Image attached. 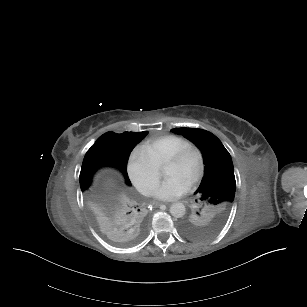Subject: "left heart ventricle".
<instances>
[{"label":"left heart ventricle","instance_id":"b2bd125f","mask_svg":"<svg viewBox=\"0 0 307 307\" xmlns=\"http://www.w3.org/2000/svg\"><path fill=\"white\" fill-rule=\"evenodd\" d=\"M200 163L201 158L199 152L193 150L179 163L166 161L163 172L166 176L177 175L189 182L199 171Z\"/></svg>","mask_w":307,"mask_h":307}]
</instances>
